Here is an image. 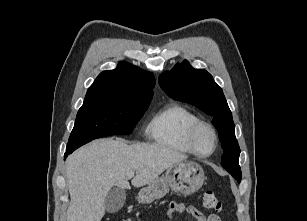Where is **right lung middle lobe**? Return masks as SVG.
I'll use <instances>...</instances> for the list:
<instances>
[{"label": "right lung middle lobe", "instance_id": "dd1d6c3e", "mask_svg": "<svg viewBox=\"0 0 307 221\" xmlns=\"http://www.w3.org/2000/svg\"><path fill=\"white\" fill-rule=\"evenodd\" d=\"M149 104L150 100L119 97L84 102L77 113L66 153L97 138L130 134Z\"/></svg>", "mask_w": 307, "mask_h": 221}]
</instances>
